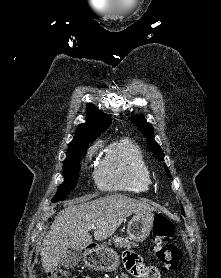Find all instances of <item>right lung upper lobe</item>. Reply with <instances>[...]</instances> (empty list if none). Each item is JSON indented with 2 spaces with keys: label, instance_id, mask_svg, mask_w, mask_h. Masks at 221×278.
I'll use <instances>...</instances> for the list:
<instances>
[{
  "label": "right lung upper lobe",
  "instance_id": "cb5924a9",
  "mask_svg": "<svg viewBox=\"0 0 221 278\" xmlns=\"http://www.w3.org/2000/svg\"><path fill=\"white\" fill-rule=\"evenodd\" d=\"M112 123L108 114L102 113L93 104L87 105V121L78 126L76 135L68 147V152L83 145L92 143L101 132L107 130Z\"/></svg>",
  "mask_w": 221,
  "mask_h": 278
}]
</instances>
